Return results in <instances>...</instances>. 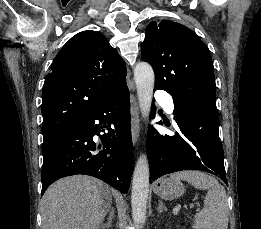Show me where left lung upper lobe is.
Segmentation results:
<instances>
[{
  "mask_svg": "<svg viewBox=\"0 0 261 229\" xmlns=\"http://www.w3.org/2000/svg\"><path fill=\"white\" fill-rule=\"evenodd\" d=\"M141 49L142 59L154 69L155 88L175 100H194L216 108L212 58L195 32L169 20L151 22Z\"/></svg>",
  "mask_w": 261,
  "mask_h": 229,
  "instance_id": "obj_1",
  "label": "left lung upper lobe"
}]
</instances>
